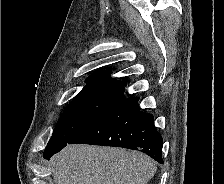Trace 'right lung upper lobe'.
I'll use <instances>...</instances> for the list:
<instances>
[{
  "instance_id": "right-lung-upper-lobe-1",
  "label": "right lung upper lobe",
  "mask_w": 224,
  "mask_h": 184,
  "mask_svg": "<svg viewBox=\"0 0 224 184\" xmlns=\"http://www.w3.org/2000/svg\"><path fill=\"white\" fill-rule=\"evenodd\" d=\"M110 73V71L95 72L86 79V82L89 84H115L125 86L124 82L111 78Z\"/></svg>"
}]
</instances>
